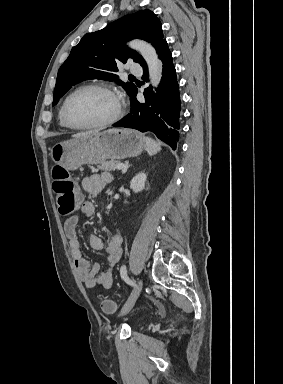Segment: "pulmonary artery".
I'll return each instance as SVG.
<instances>
[{"instance_id": "pulmonary-artery-1", "label": "pulmonary artery", "mask_w": 283, "mask_h": 384, "mask_svg": "<svg viewBox=\"0 0 283 384\" xmlns=\"http://www.w3.org/2000/svg\"><path fill=\"white\" fill-rule=\"evenodd\" d=\"M128 70L131 72V75H142L143 72L140 64H136L135 61L129 62Z\"/></svg>"}]
</instances>
